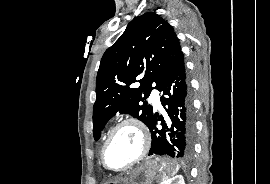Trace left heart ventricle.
I'll list each match as a JSON object with an SVG mask.
<instances>
[{"label":"left heart ventricle","instance_id":"1","mask_svg":"<svg viewBox=\"0 0 270 184\" xmlns=\"http://www.w3.org/2000/svg\"><path fill=\"white\" fill-rule=\"evenodd\" d=\"M142 140L138 130L131 125L122 127L111 141L106 162L112 168H121L131 163L140 153Z\"/></svg>","mask_w":270,"mask_h":184}]
</instances>
